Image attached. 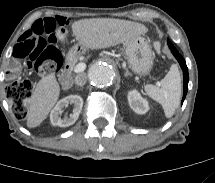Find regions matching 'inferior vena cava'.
Segmentation results:
<instances>
[{"mask_svg":"<svg viewBox=\"0 0 215 183\" xmlns=\"http://www.w3.org/2000/svg\"><path fill=\"white\" fill-rule=\"evenodd\" d=\"M86 81H87V75L85 73L78 74L75 77V84L78 86L85 85Z\"/></svg>","mask_w":215,"mask_h":183,"instance_id":"602c4592","label":"inferior vena cava"}]
</instances>
